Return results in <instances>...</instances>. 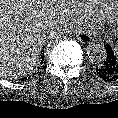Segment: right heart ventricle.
I'll use <instances>...</instances> for the list:
<instances>
[{
	"label": "right heart ventricle",
	"instance_id": "obj_1",
	"mask_svg": "<svg viewBox=\"0 0 118 118\" xmlns=\"http://www.w3.org/2000/svg\"><path fill=\"white\" fill-rule=\"evenodd\" d=\"M118 0H82L81 14L88 19L101 21L115 19V4Z\"/></svg>",
	"mask_w": 118,
	"mask_h": 118
}]
</instances>
